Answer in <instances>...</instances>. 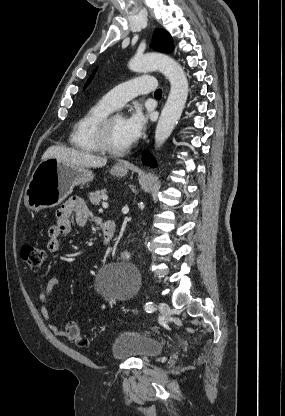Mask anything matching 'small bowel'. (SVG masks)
<instances>
[{"instance_id": "obj_1", "label": "small bowel", "mask_w": 285, "mask_h": 416, "mask_svg": "<svg viewBox=\"0 0 285 416\" xmlns=\"http://www.w3.org/2000/svg\"><path fill=\"white\" fill-rule=\"evenodd\" d=\"M73 220L78 226L85 225L89 220L96 221V218L87 207L85 201L79 197L68 199L58 210L56 223L48 229L49 240L46 244V248L49 253H57L60 251V237L71 233ZM59 285V279H50L47 285L40 290L38 299L43 304L41 313L51 332L56 336L64 337L65 331L52 321L48 309L52 293Z\"/></svg>"}]
</instances>
